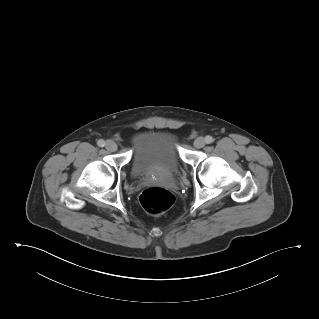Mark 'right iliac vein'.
I'll list each match as a JSON object with an SVG mask.
<instances>
[{"mask_svg":"<svg viewBox=\"0 0 319 319\" xmlns=\"http://www.w3.org/2000/svg\"><path fill=\"white\" fill-rule=\"evenodd\" d=\"M106 149L114 152L117 150V144L114 141L109 140L106 142Z\"/></svg>","mask_w":319,"mask_h":319,"instance_id":"1","label":"right iliac vein"}]
</instances>
